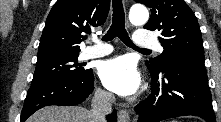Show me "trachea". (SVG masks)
<instances>
[{"label":"trachea","mask_w":221,"mask_h":122,"mask_svg":"<svg viewBox=\"0 0 221 122\" xmlns=\"http://www.w3.org/2000/svg\"><path fill=\"white\" fill-rule=\"evenodd\" d=\"M113 19L112 24L103 37L104 41L113 40L115 37H118L124 44L127 46L143 51H149L148 49H140L136 47L133 42L130 40L128 33L125 29V15L123 10V5L121 0H113Z\"/></svg>","instance_id":"3493384b"}]
</instances>
